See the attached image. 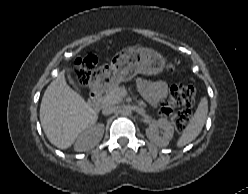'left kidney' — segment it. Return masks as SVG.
Listing matches in <instances>:
<instances>
[{"label":"left kidney","mask_w":248,"mask_h":194,"mask_svg":"<svg viewBox=\"0 0 248 194\" xmlns=\"http://www.w3.org/2000/svg\"><path fill=\"white\" fill-rule=\"evenodd\" d=\"M157 128L163 130L162 135L158 134ZM174 127L168 120L160 118L152 122L146 129L147 138L159 147H166L172 139Z\"/></svg>","instance_id":"obj_1"}]
</instances>
